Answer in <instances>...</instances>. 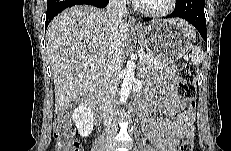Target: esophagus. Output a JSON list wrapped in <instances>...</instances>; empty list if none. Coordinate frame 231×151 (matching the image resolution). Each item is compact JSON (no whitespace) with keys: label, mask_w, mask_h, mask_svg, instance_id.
Here are the masks:
<instances>
[{"label":"esophagus","mask_w":231,"mask_h":151,"mask_svg":"<svg viewBox=\"0 0 231 151\" xmlns=\"http://www.w3.org/2000/svg\"><path fill=\"white\" fill-rule=\"evenodd\" d=\"M128 25L132 28H135V29L139 28V26L136 24V21L133 17H129Z\"/></svg>","instance_id":"obj_1"}]
</instances>
